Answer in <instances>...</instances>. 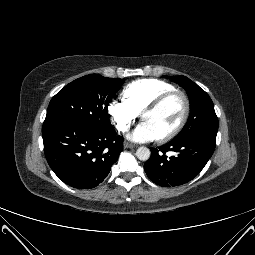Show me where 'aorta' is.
<instances>
[{
	"mask_svg": "<svg viewBox=\"0 0 255 255\" xmlns=\"http://www.w3.org/2000/svg\"><path fill=\"white\" fill-rule=\"evenodd\" d=\"M151 152L147 147H139L136 151V156L141 161H147L150 158Z\"/></svg>",
	"mask_w": 255,
	"mask_h": 255,
	"instance_id": "aorta-1",
	"label": "aorta"
}]
</instances>
